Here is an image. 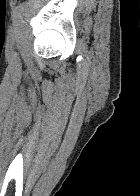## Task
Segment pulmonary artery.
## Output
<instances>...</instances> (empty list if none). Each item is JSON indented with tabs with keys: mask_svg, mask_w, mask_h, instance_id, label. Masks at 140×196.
Instances as JSON below:
<instances>
[{
	"mask_svg": "<svg viewBox=\"0 0 140 196\" xmlns=\"http://www.w3.org/2000/svg\"><path fill=\"white\" fill-rule=\"evenodd\" d=\"M35 192H49V191H35Z\"/></svg>",
	"mask_w": 140,
	"mask_h": 196,
	"instance_id": "1",
	"label": "pulmonary artery"
}]
</instances>
